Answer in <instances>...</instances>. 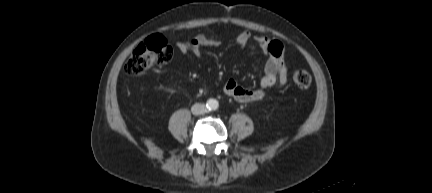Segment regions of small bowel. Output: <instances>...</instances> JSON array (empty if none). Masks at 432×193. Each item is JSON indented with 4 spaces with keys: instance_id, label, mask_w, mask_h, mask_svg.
Segmentation results:
<instances>
[{
    "instance_id": "small-bowel-1",
    "label": "small bowel",
    "mask_w": 432,
    "mask_h": 193,
    "mask_svg": "<svg viewBox=\"0 0 432 193\" xmlns=\"http://www.w3.org/2000/svg\"><path fill=\"white\" fill-rule=\"evenodd\" d=\"M236 43L241 47L253 45L259 48L267 56V61L259 88H244L233 79H230L224 85L226 95L239 102H255L265 96L266 89L279 88L286 84L288 64L284 57V45L280 41L265 36H257L252 39L248 31H242L237 35ZM219 44L220 40L218 38L200 34L188 41L178 42L176 47L181 53L199 54L201 47H214Z\"/></svg>"
}]
</instances>
